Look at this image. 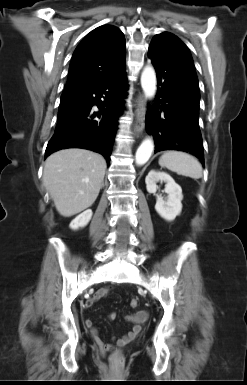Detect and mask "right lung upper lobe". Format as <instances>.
Listing matches in <instances>:
<instances>
[{
    "mask_svg": "<svg viewBox=\"0 0 247 385\" xmlns=\"http://www.w3.org/2000/svg\"><path fill=\"white\" fill-rule=\"evenodd\" d=\"M125 57V37L117 27L94 29L74 51L63 92H80L116 75L125 67Z\"/></svg>",
    "mask_w": 247,
    "mask_h": 385,
    "instance_id": "right-lung-upper-lobe-1",
    "label": "right lung upper lobe"
}]
</instances>
